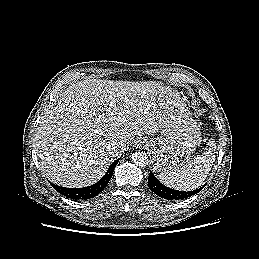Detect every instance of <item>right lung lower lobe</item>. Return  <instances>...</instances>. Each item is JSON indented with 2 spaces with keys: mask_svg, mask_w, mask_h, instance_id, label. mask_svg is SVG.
Returning a JSON list of instances; mask_svg holds the SVG:
<instances>
[{
  "mask_svg": "<svg viewBox=\"0 0 259 259\" xmlns=\"http://www.w3.org/2000/svg\"><path fill=\"white\" fill-rule=\"evenodd\" d=\"M121 159V158H119ZM118 160H115L109 167L108 171L106 172V174L103 176V178L101 180H99L97 183L88 186V187H84V188H65V187H60L54 184H51L53 186V188L58 191L60 194L67 196L68 198L71 199H89V198H93L96 195H98L100 192L103 191V189L107 186V184L109 183L114 168L116 167V165L118 164Z\"/></svg>",
  "mask_w": 259,
  "mask_h": 259,
  "instance_id": "1",
  "label": "right lung lower lobe"
}]
</instances>
